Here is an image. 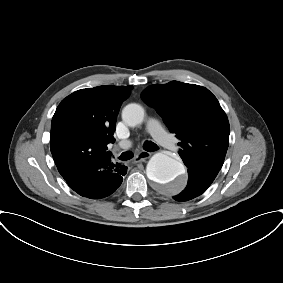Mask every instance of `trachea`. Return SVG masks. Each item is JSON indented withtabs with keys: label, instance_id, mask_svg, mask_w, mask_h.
I'll return each instance as SVG.
<instances>
[{
	"label": "trachea",
	"instance_id": "3493384b",
	"mask_svg": "<svg viewBox=\"0 0 283 283\" xmlns=\"http://www.w3.org/2000/svg\"><path fill=\"white\" fill-rule=\"evenodd\" d=\"M143 148L144 150L149 151V152L158 150V146L152 141H146L143 145ZM132 157H133V154L130 151H126L120 155L119 159L126 161V160L131 159Z\"/></svg>",
	"mask_w": 283,
	"mask_h": 283
}]
</instances>
